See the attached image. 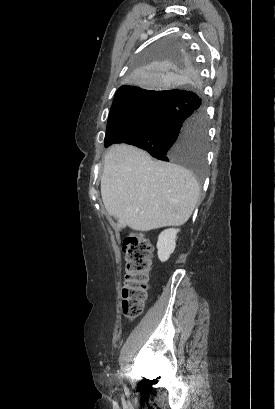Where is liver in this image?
<instances>
[{"label":"liver","mask_w":275,"mask_h":409,"mask_svg":"<svg viewBox=\"0 0 275 409\" xmlns=\"http://www.w3.org/2000/svg\"><path fill=\"white\" fill-rule=\"evenodd\" d=\"M199 192L190 170L153 160L141 148L114 144L105 154L101 196L109 215L119 219V229L151 231L184 225Z\"/></svg>","instance_id":"6515ba94"}]
</instances>
